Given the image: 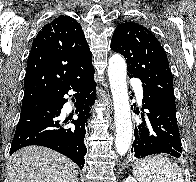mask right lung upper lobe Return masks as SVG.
I'll return each mask as SVG.
<instances>
[{
    "label": "right lung upper lobe",
    "instance_id": "cb5924a9",
    "mask_svg": "<svg viewBox=\"0 0 196 182\" xmlns=\"http://www.w3.org/2000/svg\"><path fill=\"white\" fill-rule=\"evenodd\" d=\"M81 25L61 15L46 24L33 41L27 61L22 106L45 99L73 75L91 64Z\"/></svg>",
    "mask_w": 196,
    "mask_h": 182
}]
</instances>
